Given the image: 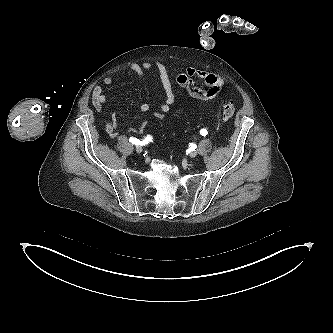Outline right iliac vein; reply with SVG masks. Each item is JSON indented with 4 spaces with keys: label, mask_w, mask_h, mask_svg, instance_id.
<instances>
[{
    "label": "right iliac vein",
    "mask_w": 333,
    "mask_h": 333,
    "mask_svg": "<svg viewBox=\"0 0 333 333\" xmlns=\"http://www.w3.org/2000/svg\"><path fill=\"white\" fill-rule=\"evenodd\" d=\"M135 149H136V152L139 154L142 152V147H140V146H136Z\"/></svg>",
    "instance_id": "obj_1"
}]
</instances>
